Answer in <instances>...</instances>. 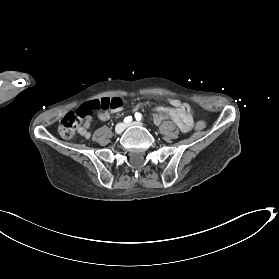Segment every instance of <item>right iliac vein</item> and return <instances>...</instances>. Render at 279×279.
<instances>
[{"label": "right iliac vein", "instance_id": "1", "mask_svg": "<svg viewBox=\"0 0 279 279\" xmlns=\"http://www.w3.org/2000/svg\"><path fill=\"white\" fill-rule=\"evenodd\" d=\"M124 129H125V124L119 123L115 127V132L116 134H121L124 131Z\"/></svg>", "mask_w": 279, "mask_h": 279}]
</instances>
